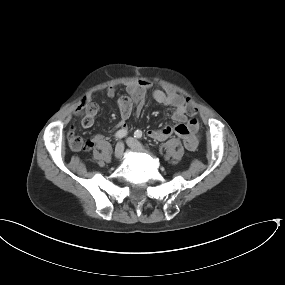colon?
Segmentation results:
<instances>
[{
	"instance_id": "5ec220e1",
	"label": "colon",
	"mask_w": 285,
	"mask_h": 285,
	"mask_svg": "<svg viewBox=\"0 0 285 285\" xmlns=\"http://www.w3.org/2000/svg\"><path fill=\"white\" fill-rule=\"evenodd\" d=\"M89 104V102L86 100V99H83L81 102H80V106L82 108L86 107L87 105ZM187 113L190 115V116H193L197 113V107L195 106L194 103H189L187 105ZM72 142H73V145L76 149L78 150H81V149H86L88 147V140L81 137V136H74L72 137Z\"/></svg>"
}]
</instances>
